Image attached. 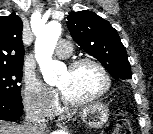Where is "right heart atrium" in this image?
<instances>
[{"label": "right heart atrium", "mask_w": 153, "mask_h": 134, "mask_svg": "<svg viewBox=\"0 0 153 134\" xmlns=\"http://www.w3.org/2000/svg\"><path fill=\"white\" fill-rule=\"evenodd\" d=\"M23 103L29 113L47 117L57 108V95L37 76L27 74L24 80Z\"/></svg>", "instance_id": "1"}]
</instances>
